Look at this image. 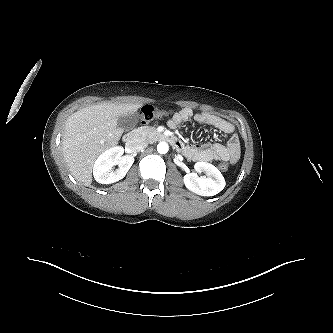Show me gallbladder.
Returning <instances> with one entry per match:
<instances>
[{"mask_svg":"<svg viewBox=\"0 0 333 333\" xmlns=\"http://www.w3.org/2000/svg\"><path fill=\"white\" fill-rule=\"evenodd\" d=\"M138 116L136 114H128L124 116H119L117 120V126L123 131H131L138 121Z\"/></svg>","mask_w":333,"mask_h":333,"instance_id":"1","label":"gallbladder"}]
</instances>
